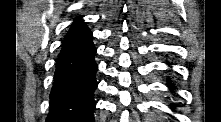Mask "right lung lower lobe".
Segmentation results:
<instances>
[{"mask_svg": "<svg viewBox=\"0 0 221 122\" xmlns=\"http://www.w3.org/2000/svg\"><path fill=\"white\" fill-rule=\"evenodd\" d=\"M95 54L92 33L85 23L73 25L57 58L46 122H94Z\"/></svg>", "mask_w": 221, "mask_h": 122, "instance_id": "98d812e1", "label": "right lung lower lobe"}]
</instances>
